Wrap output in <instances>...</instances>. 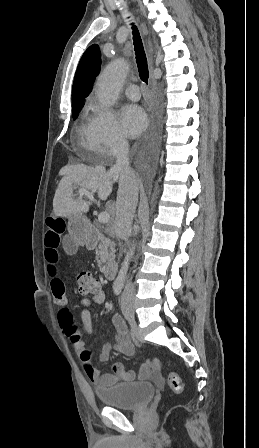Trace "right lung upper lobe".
Masks as SVG:
<instances>
[{
	"label": "right lung upper lobe",
	"instance_id": "cb5924a9",
	"mask_svg": "<svg viewBox=\"0 0 259 448\" xmlns=\"http://www.w3.org/2000/svg\"><path fill=\"white\" fill-rule=\"evenodd\" d=\"M101 68V53L98 45L93 44L84 52L78 64L73 87L72 109H81L85 98L90 94Z\"/></svg>",
	"mask_w": 259,
	"mask_h": 448
}]
</instances>
